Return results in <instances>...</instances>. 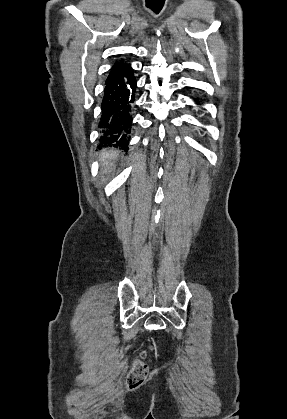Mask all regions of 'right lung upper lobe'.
I'll return each instance as SVG.
<instances>
[{
    "label": "right lung upper lobe",
    "mask_w": 287,
    "mask_h": 419,
    "mask_svg": "<svg viewBox=\"0 0 287 419\" xmlns=\"http://www.w3.org/2000/svg\"><path fill=\"white\" fill-rule=\"evenodd\" d=\"M128 69H130V66L128 64H124L123 62H116L115 65L112 67L108 78L123 73Z\"/></svg>",
    "instance_id": "right-lung-upper-lobe-1"
}]
</instances>
